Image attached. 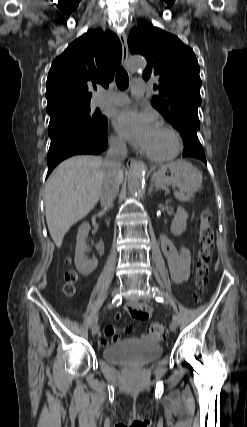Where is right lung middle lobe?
<instances>
[{
  "instance_id": "right-lung-middle-lobe-1",
  "label": "right lung middle lobe",
  "mask_w": 247,
  "mask_h": 427,
  "mask_svg": "<svg viewBox=\"0 0 247 427\" xmlns=\"http://www.w3.org/2000/svg\"><path fill=\"white\" fill-rule=\"evenodd\" d=\"M52 117H66L80 121L94 129H104L107 126V119L98 112L90 113L89 104L82 106L64 107L52 114Z\"/></svg>"
}]
</instances>
